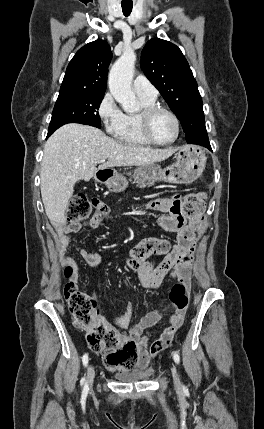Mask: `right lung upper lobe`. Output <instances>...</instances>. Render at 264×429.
Returning a JSON list of instances; mask_svg holds the SVG:
<instances>
[{
  "mask_svg": "<svg viewBox=\"0 0 264 429\" xmlns=\"http://www.w3.org/2000/svg\"><path fill=\"white\" fill-rule=\"evenodd\" d=\"M112 53L108 43L98 39L83 46L70 61L60 92L104 94Z\"/></svg>",
  "mask_w": 264,
  "mask_h": 429,
  "instance_id": "obj_1",
  "label": "right lung upper lobe"
}]
</instances>
